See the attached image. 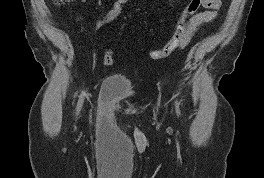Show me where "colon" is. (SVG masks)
I'll use <instances>...</instances> for the list:
<instances>
[{
	"instance_id": "obj_1",
	"label": "colon",
	"mask_w": 264,
	"mask_h": 178,
	"mask_svg": "<svg viewBox=\"0 0 264 178\" xmlns=\"http://www.w3.org/2000/svg\"><path fill=\"white\" fill-rule=\"evenodd\" d=\"M67 0H53L55 4L62 5ZM207 0H190L182 15L180 16L175 32L171 39L159 49L152 50L150 55L153 59H163L172 55L176 50L186 47L194 32L195 28L192 26L193 17L199 12L200 8H204ZM105 65H112L114 63V54L111 50H107L103 56Z\"/></svg>"
}]
</instances>
